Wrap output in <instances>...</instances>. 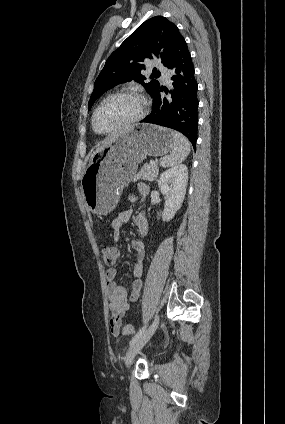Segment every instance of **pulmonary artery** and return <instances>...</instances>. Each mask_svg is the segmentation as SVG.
Here are the masks:
<instances>
[{"mask_svg": "<svg viewBox=\"0 0 285 424\" xmlns=\"http://www.w3.org/2000/svg\"><path fill=\"white\" fill-rule=\"evenodd\" d=\"M157 69H159L161 71V73L163 75L164 81L165 82H168L169 81V72H170V70L168 68H166V67L161 66V65H158L157 66Z\"/></svg>", "mask_w": 285, "mask_h": 424, "instance_id": "1", "label": "pulmonary artery"}]
</instances>
